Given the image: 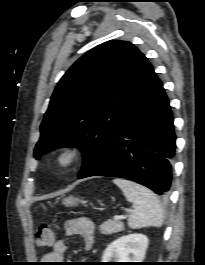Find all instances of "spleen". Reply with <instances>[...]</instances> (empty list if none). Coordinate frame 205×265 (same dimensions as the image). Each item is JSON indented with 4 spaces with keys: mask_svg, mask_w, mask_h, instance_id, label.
<instances>
[{
    "mask_svg": "<svg viewBox=\"0 0 205 265\" xmlns=\"http://www.w3.org/2000/svg\"><path fill=\"white\" fill-rule=\"evenodd\" d=\"M113 182L121 188L126 199L134 204V210L128 219L130 228L161 227L163 225V208L151 190L126 179L116 178Z\"/></svg>",
    "mask_w": 205,
    "mask_h": 265,
    "instance_id": "3e777b00",
    "label": "spleen"
}]
</instances>
